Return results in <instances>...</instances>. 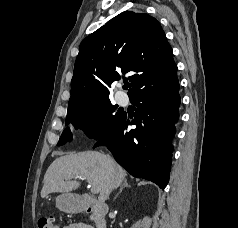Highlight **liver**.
<instances>
[{"mask_svg":"<svg viewBox=\"0 0 238 228\" xmlns=\"http://www.w3.org/2000/svg\"><path fill=\"white\" fill-rule=\"evenodd\" d=\"M126 176L125 170L112 158L97 151L61 156L48 167L41 197L53 192H70L80 187L76 179L88 178L99 191V201L105 202ZM74 179V180H73ZM72 180V181H71Z\"/></svg>","mask_w":238,"mask_h":228,"instance_id":"liver-1","label":"liver"}]
</instances>
